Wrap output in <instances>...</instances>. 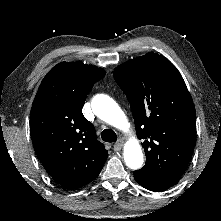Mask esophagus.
I'll return each instance as SVG.
<instances>
[{"instance_id":"34e87169","label":"esophagus","mask_w":221,"mask_h":221,"mask_svg":"<svg viewBox=\"0 0 221 221\" xmlns=\"http://www.w3.org/2000/svg\"><path fill=\"white\" fill-rule=\"evenodd\" d=\"M123 144H124L123 139H119V140L113 145L114 151H119V150H121Z\"/></svg>"}]
</instances>
